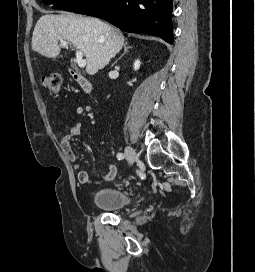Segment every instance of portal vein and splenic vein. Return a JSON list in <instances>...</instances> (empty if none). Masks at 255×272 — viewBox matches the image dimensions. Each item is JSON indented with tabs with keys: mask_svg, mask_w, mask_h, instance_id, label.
Masks as SVG:
<instances>
[{
	"mask_svg": "<svg viewBox=\"0 0 255 272\" xmlns=\"http://www.w3.org/2000/svg\"><path fill=\"white\" fill-rule=\"evenodd\" d=\"M61 45L66 47L67 46V41L61 40ZM76 61L79 67H85L86 65V60L83 59V53L80 50H77L76 52Z\"/></svg>",
	"mask_w": 255,
	"mask_h": 272,
	"instance_id": "18ae733b",
	"label": "portal vein and splenic vein"
}]
</instances>
